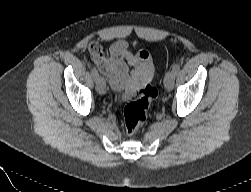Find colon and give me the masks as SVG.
I'll return each instance as SVG.
<instances>
[{"label": "colon", "instance_id": "1", "mask_svg": "<svg viewBox=\"0 0 251 192\" xmlns=\"http://www.w3.org/2000/svg\"><path fill=\"white\" fill-rule=\"evenodd\" d=\"M157 89L146 84L139 90V96L124 108V126L128 135L135 134L145 123L150 103L157 97Z\"/></svg>", "mask_w": 251, "mask_h": 192}]
</instances>
